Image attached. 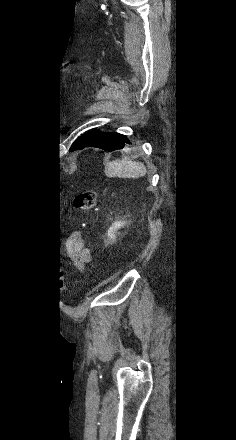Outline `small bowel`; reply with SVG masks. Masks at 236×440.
<instances>
[{"label":"small bowel","mask_w":236,"mask_h":440,"mask_svg":"<svg viewBox=\"0 0 236 440\" xmlns=\"http://www.w3.org/2000/svg\"><path fill=\"white\" fill-rule=\"evenodd\" d=\"M68 253L73 258V267L78 271H83L91 262V251L85 247L80 231L71 234Z\"/></svg>","instance_id":"c3829d8e"}]
</instances>
